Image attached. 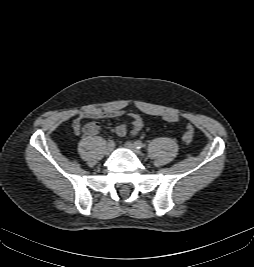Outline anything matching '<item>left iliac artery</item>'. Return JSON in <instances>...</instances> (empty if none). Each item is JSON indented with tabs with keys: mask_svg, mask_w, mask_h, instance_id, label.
Listing matches in <instances>:
<instances>
[{
	"mask_svg": "<svg viewBox=\"0 0 254 267\" xmlns=\"http://www.w3.org/2000/svg\"><path fill=\"white\" fill-rule=\"evenodd\" d=\"M134 144L136 145V147H137L138 149H141V148H144V147H145V144H144L142 141H140V140H136V141L134 142Z\"/></svg>",
	"mask_w": 254,
	"mask_h": 267,
	"instance_id": "obj_1",
	"label": "left iliac artery"
}]
</instances>
